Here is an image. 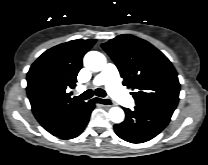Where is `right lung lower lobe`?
Listing matches in <instances>:
<instances>
[{"label": "right lung lower lobe", "mask_w": 208, "mask_h": 165, "mask_svg": "<svg viewBox=\"0 0 208 165\" xmlns=\"http://www.w3.org/2000/svg\"><path fill=\"white\" fill-rule=\"evenodd\" d=\"M94 107V102L90 100L89 102L85 103L81 110L47 131L56 137L66 140L79 136L88 124L90 114Z\"/></svg>", "instance_id": "1"}]
</instances>
